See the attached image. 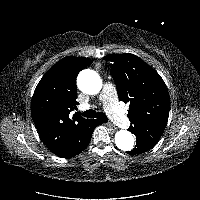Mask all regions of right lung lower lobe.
<instances>
[{"instance_id": "right-lung-lower-lobe-1", "label": "right lung lower lobe", "mask_w": 200, "mask_h": 200, "mask_svg": "<svg viewBox=\"0 0 200 200\" xmlns=\"http://www.w3.org/2000/svg\"><path fill=\"white\" fill-rule=\"evenodd\" d=\"M100 124V122L96 119L91 120L87 125L86 128L83 130V132L80 134L79 139L77 140L74 147L64 156H60L63 158H71L79 153H81L86 147L89 145L92 132L94 131V128Z\"/></svg>"}]
</instances>
